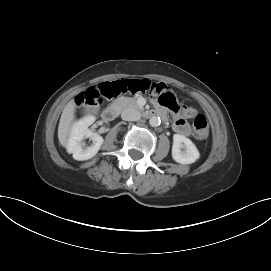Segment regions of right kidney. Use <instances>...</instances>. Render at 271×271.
<instances>
[{"label": "right kidney", "mask_w": 271, "mask_h": 271, "mask_svg": "<svg viewBox=\"0 0 271 271\" xmlns=\"http://www.w3.org/2000/svg\"><path fill=\"white\" fill-rule=\"evenodd\" d=\"M94 121L95 117L89 115L76 121L71 128L66 148L68 153L73 154L75 160L84 161L93 158L104 142L102 136L88 129ZM85 138L92 140L91 146H85L83 142Z\"/></svg>", "instance_id": "1"}]
</instances>
